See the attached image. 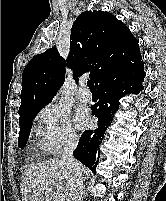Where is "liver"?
Segmentation results:
<instances>
[{
	"instance_id": "liver-1",
	"label": "liver",
	"mask_w": 166,
	"mask_h": 201,
	"mask_svg": "<svg viewBox=\"0 0 166 201\" xmlns=\"http://www.w3.org/2000/svg\"><path fill=\"white\" fill-rule=\"evenodd\" d=\"M73 181L62 158L28 166L21 177L22 201H68Z\"/></svg>"
}]
</instances>
